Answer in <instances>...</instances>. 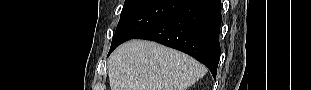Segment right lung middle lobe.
<instances>
[{"label":"right lung middle lobe","instance_id":"1","mask_svg":"<svg viewBox=\"0 0 311 90\" xmlns=\"http://www.w3.org/2000/svg\"><path fill=\"white\" fill-rule=\"evenodd\" d=\"M188 0H126L110 52L171 16Z\"/></svg>","mask_w":311,"mask_h":90}]
</instances>
